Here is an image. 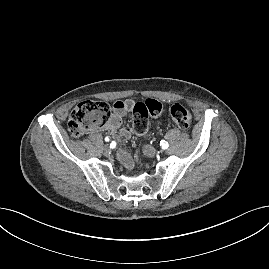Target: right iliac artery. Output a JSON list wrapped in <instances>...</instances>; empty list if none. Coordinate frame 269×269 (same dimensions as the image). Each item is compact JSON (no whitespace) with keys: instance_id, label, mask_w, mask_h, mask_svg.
Wrapping results in <instances>:
<instances>
[{"instance_id":"obj_1","label":"right iliac artery","mask_w":269,"mask_h":269,"mask_svg":"<svg viewBox=\"0 0 269 269\" xmlns=\"http://www.w3.org/2000/svg\"><path fill=\"white\" fill-rule=\"evenodd\" d=\"M109 140H110L109 137H105L106 142H109Z\"/></svg>"}]
</instances>
